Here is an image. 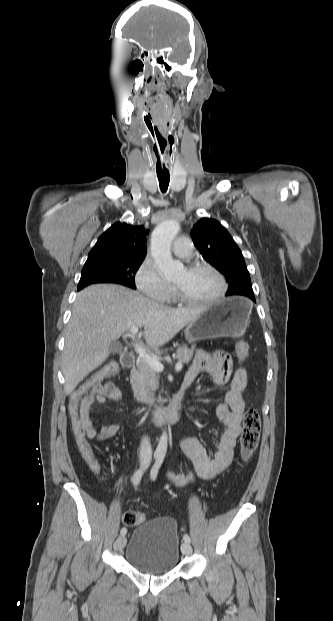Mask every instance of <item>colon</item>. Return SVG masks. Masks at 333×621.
<instances>
[{
    "instance_id": "obj_1",
    "label": "colon",
    "mask_w": 333,
    "mask_h": 621,
    "mask_svg": "<svg viewBox=\"0 0 333 621\" xmlns=\"http://www.w3.org/2000/svg\"><path fill=\"white\" fill-rule=\"evenodd\" d=\"M249 346L248 343L244 340H240L236 344V353L237 357L240 360H245L248 356ZM119 372V367L116 363L111 362L103 366L100 370H98L95 374L91 376V378L83 384L82 388H89L96 384H101L106 378L117 375ZM81 397V392H77L72 396L70 405H69V418L70 424L73 431V435L78 447V450L87 463L89 468L97 473L99 471L98 463L94 457V454L87 443V438L85 435L84 427L79 415V399ZM261 433V419L258 412L254 408H249L245 414L243 419V429L240 437V448L241 455L244 460H248L252 457L254 452L256 451ZM122 521L126 526H136L138 524L146 521V515L144 513L138 511H127L123 517Z\"/></svg>"
}]
</instances>
